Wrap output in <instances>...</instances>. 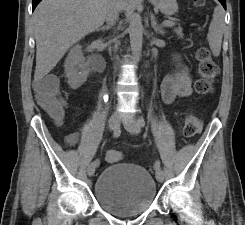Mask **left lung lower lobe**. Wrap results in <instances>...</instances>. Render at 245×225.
<instances>
[{
	"label": "left lung lower lobe",
	"mask_w": 245,
	"mask_h": 225,
	"mask_svg": "<svg viewBox=\"0 0 245 225\" xmlns=\"http://www.w3.org/2000/svg\"><path fill=\"white\" fill-rule=\"evenodd\" d=\"M222 5L223 7L226 9V1L225 0H218Z\"/></svg>",
	"instance_id": "obj_1"
}]
</instances>
